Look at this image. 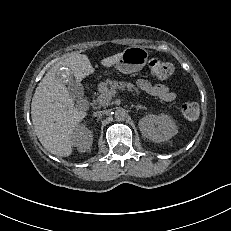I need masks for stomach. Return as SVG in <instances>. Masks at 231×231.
I'll list each match as a JSON object with an SVG mask.
<instances>
[{
	"mask_svg": "<svg viewBox=\"0 0 231 231\" xmlns=\"http://www.w3.org/2000/svg\"><path fill=\"white\" fill-rule=\"evenodd\" d=\"M149 53L141 46H132L122 52V57L115 68L124 74L140 71L147 63Z\"/></svg>",
	"mask_w": 231,
	"mask_h": 231,
	"instance_id": "obj_1",
	"label": "stomach"
}]
</instances>
